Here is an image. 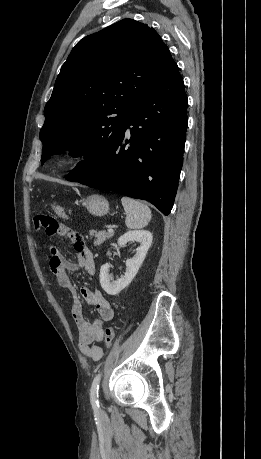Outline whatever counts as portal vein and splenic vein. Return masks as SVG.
<instances>
[{
  "label": "portal vein and splenic vein",
  "instance_id": "obj_1",
  "mask_svg": "<svg viewBox=\"0 0 261 459\" xmlns=\"http://www.w3.org/2000/svg\"><path fill=\"white\" fill-rule=\"evenodd\" d=\"M108 232H109V233H114L113 228L109 227V228H108Z\"/></svg>",
  "mask_w": 261,
  "mask_h": 459
}]
</instances>
